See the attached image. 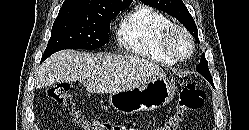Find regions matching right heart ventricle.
<instances>
[{"mask_svg":"<svg viewBox=\"0 0 249 130\" xmlns=\"http://www.w3.org/2000/svg\"><path fill=\"white\" fill-rule=\"evenodd\" d=\"M172 21L163 13L146 5H138L120 21L116 39L127 52L163 65H173L162 50L161 39Z\"/></svg>","mask_w":249,"mask_h":130,"instance_id":"e07e8e85","label":"right heart ventricle"}]
</instances>
